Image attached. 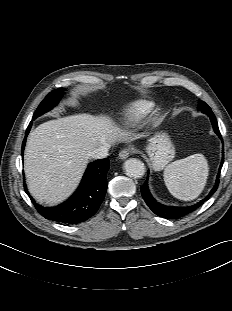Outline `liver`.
Listing matches in <instances>:
<instances>
[{"label": "liver", "mask_w": 232, "mask_h": 311, "mask_svg": "<svg viewBox=\"0 0 232 311\" xmlns=\"http://www.w3.org/2000/svg\"><path fill=\"white\" fill-rule=\"evenodd\" d=\"M129 136L110 118L85 113L40 124L28 137L25 149L30 193L49 206L61 203L77 188L92 150L135 139Z\"/></svg>", "instance_id": "obj_1"}]
</instances>
